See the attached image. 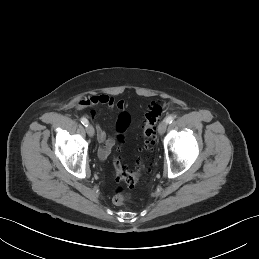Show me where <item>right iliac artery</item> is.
<instances>
[{"instance_id":"right-iliac-artery-1","label":"right iliac artery","mask_w":259,"mask_h":259,"mask_svg":"<svg viewBox=\"0 0 259 259\" xmlns=\"http://www.w3.org/2000/svg\"><path fill=\"white\" fill-rule=\"evenodd\" d=\"M81 123H82L84 126H87V125H88V120H87L85 117H82V118H81Z\"/></svg>"}]
</instances>
